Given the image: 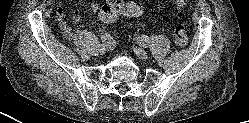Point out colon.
I'll return each instance as SVG.
<instances>
[{
	"instance_id": "5ec220e1",
	"label": "colon",
	"mask_w": 249,
	"mask_h": 123,
	"mask_svg": "<svg viewBox=\"0 0 249 123\" xmlns=\"http://www.w3.org/2000/svg\"><path fill=\"white\" fill-rule=\"evenodd\" d=\"M186 3L187 0H175L176 15L178 17L183 15V10L186 6ZM142 12L143 7L138 2H113L106 3L100 8L99 17L104 22H113L120 15L128 18H135L141 15ZM173 34L177 45L185 47L189 44V39L183 26H175L173 29Z\"/></svg>"
}]
</instances>
